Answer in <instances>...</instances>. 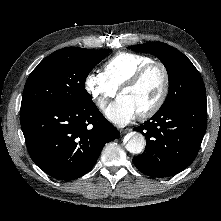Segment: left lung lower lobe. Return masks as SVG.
<instances>
[{
    "mask_svg": "<svg viewBox=\"0 0 221 221\" xmlns=\"http://www.w3.org/2000/svg\"><path fill=\"white\" fill-rule=\"evenodd\" d=\"M207 126L206 104H174L160 108L134 128L146 138L144 152L133 158L142 173L168 177L187 168L197 156Z\"/></svg>",
    "mask_w": 221,
    "mask_h": 221,
    "instance_id": "1",
    "label": "left lung lower lobe"
}]
</instances>
